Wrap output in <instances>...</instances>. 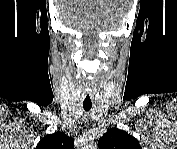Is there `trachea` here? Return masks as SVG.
<instances>
[{
  "mask_svg": "<svg viewBox=\"0 0 177 149\" xmlns=\"http://www.w3.org/2000/svg\"><path fill=\"white\" fill-rule=\"evenodd\" d=\"M83 108H84L85 111H89L92 108V103L83 102Z\"/></svg>",
  "mask_w": 177,
  "mask_h": 149,
  "instance_id": "trachea-1",
  "label": "trachea"
}]
</instances>
